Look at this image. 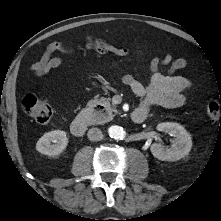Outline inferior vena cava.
Returning <instances> with one entry per match:
<instances>
[{
    "mask_svg": "<svg viewBox=\"0 0 221 221\" xmlns=\"http://www.w3.org/2000/svg\"><path fill=\"white\" fill-rule=\"evenodd\" d=\"M87 136L91 141H99L102 139L103 134L99 128H91L89 129Z\"/></svg>",
    "mask_w": 221,
    "mask_h": 221,
    "instance_id": "602c4592",
    "label": "inferior vena cava"
}]
</instances>
